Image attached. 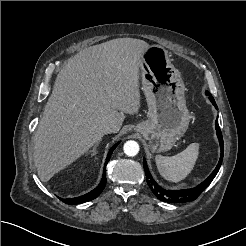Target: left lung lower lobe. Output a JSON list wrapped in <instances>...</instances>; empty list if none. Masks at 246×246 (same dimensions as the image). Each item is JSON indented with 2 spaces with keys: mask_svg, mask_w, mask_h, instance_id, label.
Here are the masks:
<instances>
[{
  "mask_svg": "<svg viewBox=\"0 0 246 246\" xmlns=\"http://www.w3.org/2000/svg\"><path fill=\"white\" fill-rule=\"evenodd\" d=\"M206 95L209 96L210 101L215 106L216 109L217 105L214 101V98L209 92H206ZM216 130H217V136L220 142L221 147V156L218 162V165L216 166L215 170L210 174V176L203 181L201 184H199L197 187L192 189H186V190H166L160 187L152 178L150 175V172L148 170L146 160L143 159V166L146 173L147 183L152 190V192L157 196V198L161 201L168 202V203H182V202H188L195 200L212 182L216 174L218 173L222 160H223V153H224V146H223V137L222 133L218 124V120L215 122Z\"/></svg>",
  "mask_w": 246,
  "mask_h": 246,
  "instance_id": "0a47b994",
  "label": "left lung lower lobe"
}]
</instances>
